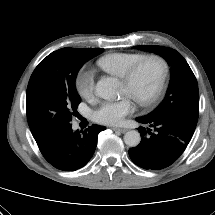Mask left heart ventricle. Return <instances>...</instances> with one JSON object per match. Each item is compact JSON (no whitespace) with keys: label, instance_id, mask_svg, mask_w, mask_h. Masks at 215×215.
I'll use <instances>...</instances> for the list:
<instances>
[{"label":"left heart ventricle","instance_id":"b2bd125f","mask_svg":"<svg viewBox=\"0 0 215 215\" xmlns=\"http://www.w3.org/2000/svg\"><path fill=\"white\" fill-rule=\"evenodd\" d=\"M161 68L156 61L146 62L130 85L122 82L121 91L132 98H147L155 90Z\"/></svg>","mask_w":215,"mask_h":215}]
</instances>
